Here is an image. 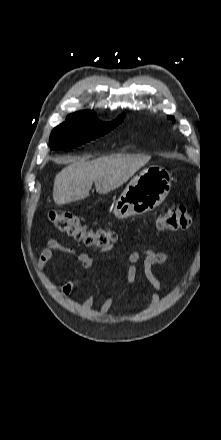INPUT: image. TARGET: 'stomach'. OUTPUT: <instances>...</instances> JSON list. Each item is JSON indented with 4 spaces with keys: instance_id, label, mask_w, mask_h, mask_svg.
<instances>
[{
    "instance_id": "stomach-1",
    "label": "stomach",
    "mask_w": 221,
    "mask_h": 440,
    "mask_svg": "<svg viewBox=\"0 0 221 440\" xmlns=\"http://www.w3.org/2000/svg\"><path fill=\"white\" fill-rule=\"evenodd\" d=\"M171 174L162 167L140 171L125 187L114 206V214L123 219L144 214L159 206L171 189Z\"/></svg>"
}]
</instances>
